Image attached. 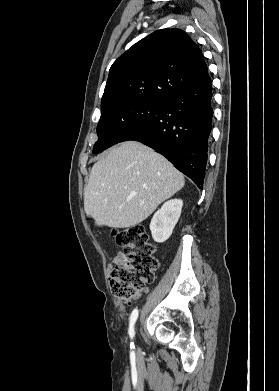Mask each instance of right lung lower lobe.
Instances as JSON below:
<instances>
[{"label":"right lung lower lobe","instance_id":"98d812e1","mask_svg":"<svg viewBox=\"0 0 279 391\" xmlns=\"http://www.w3.org/2000/svg\"><path fill=\"white\" fill-rule=\"evenodd\" d=\"M211 87L206 74L165 101L154 119L134 129L122 141L136 140L148 145L202 189L213 116Z\"/></svg>","mask_w":279,"mask_h":391}]
</instances>
